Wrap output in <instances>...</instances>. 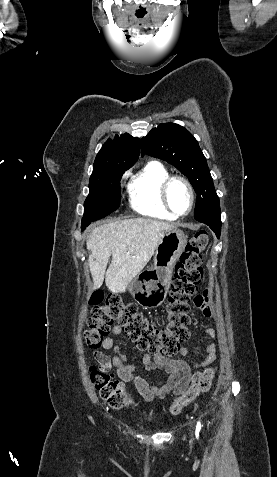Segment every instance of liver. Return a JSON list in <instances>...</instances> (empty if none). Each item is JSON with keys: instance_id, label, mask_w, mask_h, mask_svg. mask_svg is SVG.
<instances>
[{"instance_id": "obj_1", "label": "liver", "mask_w": 277, "mask_h": 477, "mask_svg": "<svg viewBox=\"0 0 277 477\" xmlns=\"http://www.w3.org/2000/svg\"><path fill=\"white\" fill-rule=\"evenodd\" d=\"M174 228L175 224L149 218L120 220L94 228L86 242L91 251L93 289L100 288L105 278L109 290L125 291L147 265L164 234Z\"/></svg>"}]
</instances>
